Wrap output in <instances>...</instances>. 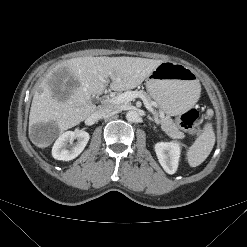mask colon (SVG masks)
I'll return each mask as SVG.
<instances>
[{"instance_id": "1", "label": "colon", "mask_w": 247, "mask_h": 247, "mask_svg": "<svg viewBox=\"0 0 247 247\" xmlns=\"http://www.w3.org/2000/svg\"><path fill=\"white\" fill-rule=\"evenodd\" d=\"M199 119V110L197 108H191L178 118V125L187 132L198 134L200 132Z\"/></svg>"}]
</instances>
